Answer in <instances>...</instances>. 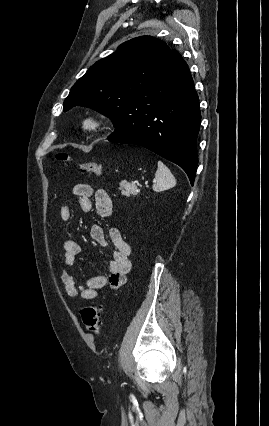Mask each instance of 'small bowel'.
Wrapping results in <instances>:
<instances>
[{
	"mask_svg": "<svg viewBox=\"0 0 269 426\" xmlns=\"http://www.w3.org/2000/svg\"><path fill=\"white\" fill-rule=\"evenodd\" d=\"M73 194L78 200V206L83 212H90L93 208V200L96 211L101 217H109L112 214V199L103 189H94L91 185L78 183L73 187ZM61 219L68 222L72 219V208L69 204L62 206ZM90 236L94 242L104 247L107 245L106 236L100 225H93ZM110 239L114 246L113 260L106 269V274L91 276L84 283H77L74 274V264L77 255L81 252V246L75 239H67L63 242V265L60 279L66 295L75 298L78 295L84 300H94L99 291L108 287L111 290L120 288L127 274L131 270V250L124 240L118 228H111Z\"/></svg>",
	"mask_w": 269,
	"mask_h": 426,
	"instance_id": "obj_1",
	"label": "small bowel"
}]
</instances>
